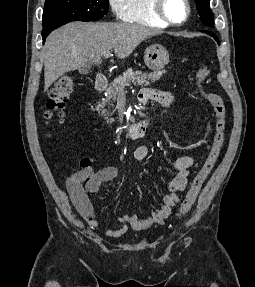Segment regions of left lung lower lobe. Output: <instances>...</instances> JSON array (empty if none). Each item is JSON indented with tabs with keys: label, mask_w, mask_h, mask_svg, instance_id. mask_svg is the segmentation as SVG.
<instances>
[{
	"label": "left lung lower lobe",
	"mask_w": 255,
	"mask_h": 287,
	"mask_svg": "<svg viewBox=\"0 0 255 287\" xmlns=\"http://www.w3.org/2000/svg\"><path fill=\"white\" fill-rule=\"evenodd\" d=\"M202 32H205V33H207L208 35L214 37V39L219 43V40H218V38L216 37V35H215L214 33L209 32V31H202Z\"/></svg>",
	"instance_id": "obj_1"
}]
</instances>
